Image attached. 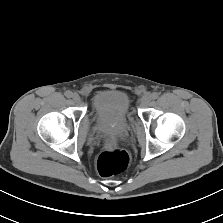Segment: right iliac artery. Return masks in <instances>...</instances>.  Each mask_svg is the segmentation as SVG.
<instances>
[{
  "mask_svg": "<svg viewBox=\"0 0 223 223\" xmlns=\"http://www.w3.org/2000/svg\"><path fill=\"white\" fill-rule=\"evenodd\" d=\"M65 96L67 97V98H71L72 97V92L71 91H66L65 93Z\"/></svg>",
  "mask_w": 223,
  "mask_h": 223,
  "instance_id": "right-iliac-artery-1",
  "label": "right iliac artery"
}]
</instances>
